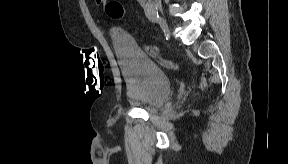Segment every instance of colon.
I'll use <instances>...</instances> for the list:
<instances>
[{
	"label": "colon",
	"mask_w": 288,
	"mask_h": 164,
	"mask_svg": "<svg viewBox=\"0 0 288 164\" xmlns=\"http://www.w3.org/2000/svg\"><path fill=\"white\" fill-rule=\"evenodd\" d=\"M106 12L113 19L122 18L125 13L122 5L117 1L111 2L106 8ZM145 51L148 52V55L152 59L161 61L165 66L174 70L179 68V65L176 62L163 59L161 53L149 45H147V49Z\"/></svg>",
	"instance_id": "1"
}]
</instances>
